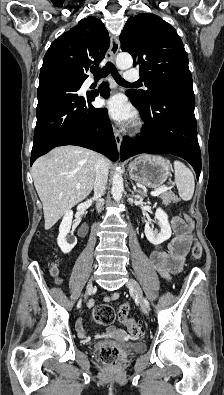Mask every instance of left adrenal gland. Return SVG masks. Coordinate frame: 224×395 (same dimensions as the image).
<instances>
[{
    "instance_id": "obj_1",
    "label": "left adrenal gland",
    "mask_w": 224,
    "mask_h": 395,
    "mask_svg": "<svg viewBox=\"0 0 224 395\" xmlns=\"http://www.w3.org/2000/svg\"><path fill=\"white\" fill-rule=\"evenodd\" d=\"M133 191L137 192L138 194H141L142 196H146V194L143 191L137 190L135 186H133Z\"/></svg>"
}]
</instances>
